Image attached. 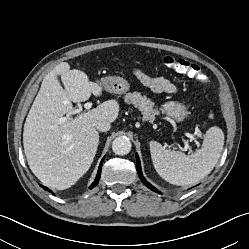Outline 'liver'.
Here are the masks:
<instances>
[{
  "label": "liver",
  "mask_w": 249,
  "mask_h": 249,
  "mask_svg": "<svg viewBox=\"0 0 249 249\" xmlns=\"http://www.w3.org/2000/svg\"><path fill=\"white\" fill-rule=\"evenodd\" d=\"M92 93L101 96L102 86L89 81L83 71L70 70L67 62L43 79L24 124L23 146L31 171L45 186L64 190L74 185L97 152V122H114L118 117L119 104L110 100L59 123V118L72 111V102H84Z\"/></svg>",
  "instance_id": "obj_1"
}]
</instances>
